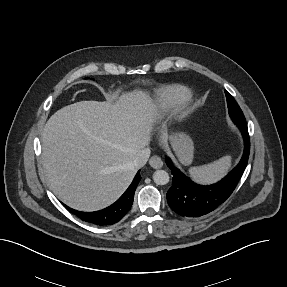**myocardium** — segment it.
<instances>
[{"label":"myocardium","mask_w":287,"mask_h":287,"mask_svg":"<svg viewBox=\"0 0 287 287\" xmlns=\"http://www.w3.org/2000/svg\"><path fill=\"white\" fill-rule=\"evenodd\" d=\"M190 101V98H185L184 100L181 101L182 103V108ZM178 122H181V119L178 120Z\"/></svg>","instance_id":"1"}]
</instances>
